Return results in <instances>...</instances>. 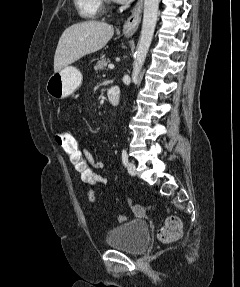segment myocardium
<instances>
[{
  "instance_id": "f54148a6",
  "label": "myocardium",
  "mask_w": 240,
  "mask_h": 287,
  "mask_svg": "<svg viewBox=\"0 0 240 287\" xmlns=\"http://www.w3.org/2000/svg\"><path fill=\"white\" fill-rule=\"evenodd\" d=\"M110 0H102V2L109 3Z\"/></svg>"
}]
</instances>
